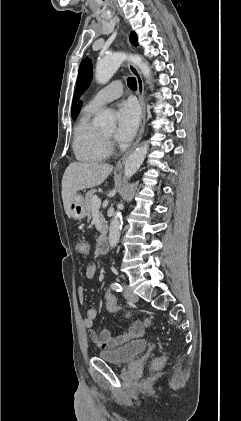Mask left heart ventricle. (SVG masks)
<instances>
[{
	"instance_id": "obj_1",
	"label": "left heart ventricle",
	"mask_w": 241,
	"mask_h": 421,
	"mask_svg": "<svg viewBox=\"0 0 241 421\" xmlns=\"http://www.w3.org/2000/svg\"><path fill=\"white\" fill-rule=\"evenodd\" d=\"M104 134H106L108 136H112L114 134V129H109V130L105 131Z\"/></svg>"
}]
</instances>
